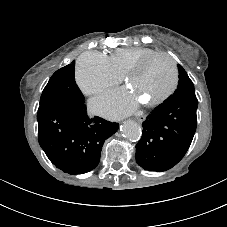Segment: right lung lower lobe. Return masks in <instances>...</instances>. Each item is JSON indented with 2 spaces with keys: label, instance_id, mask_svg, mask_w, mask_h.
<instances>
[{
  "label": "right lung lower lobe",
  "instance_id": "98d812e1",
  "mask_svg": "<svg viewBox=\"0 0 227 227\" xmlns=\"http://www.w3.org/2000/svg\"><path fill=\"white\" fill-rule=\"evenodd\" d=\"M38 140L49 160L68 174L94 169L104 141L118 130V123L87 116L84 100L50 102L39 106Z\"/></svg>",
  "mask_w": 227,
  "mask_h": 227
}]
</instances>
